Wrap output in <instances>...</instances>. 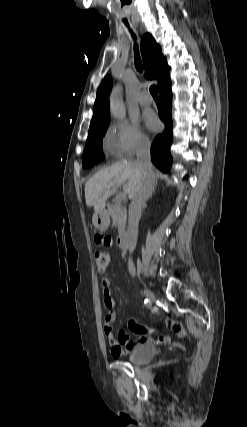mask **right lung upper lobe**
I'll return each instance as SVG.
<instances>
[{"mask_svg":"<svg viewBox=\"0 0 247 427\" xmlns=\"http://www.w3.org/2000/svg\"><path fill=\"white\" fill-rule=\"evenodd\" d=\"M141 53L145 67V77L147 79L158 80V89L170 80V67L166 63L165 57L162 55L161 47L155 42L154 38L146 33L141 40ZM112 87L110 77H105L101 82L98 90L96 101L94 103L93 118L91 120L90 129L109 122L108 113V96Z\"/></svg>","mask_w":247,"mask_h":427,"instance_id":"obj_1","label":"right lung upper lobe"}]
</instances>
